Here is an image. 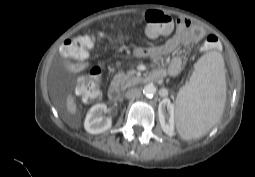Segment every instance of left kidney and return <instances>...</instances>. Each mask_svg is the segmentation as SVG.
<instances>
[{
  "instance_id": "1",
  "label": "left kidney",
  "mask_w": 255,
  "mask_h": 177,
  "mask_svg": "<svg viewBox=\"0 0 255 177\" xmlns=\"http://www.w3.org/2000/svg\"><path fill=\"white\" fill-rule=\"evenodd\" d=\"M164 108H167L168 113H165ZM159 119L163 131L168 135H173L174 132V105L170 100H163L159 105Z\"/></svg>"
}]
</instances>
